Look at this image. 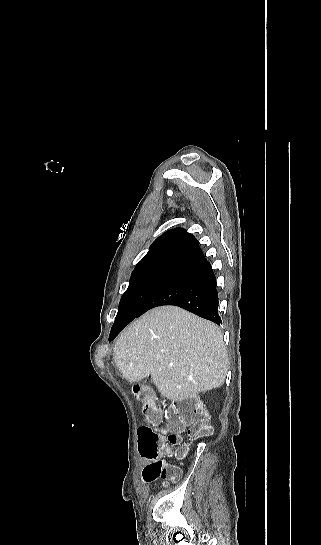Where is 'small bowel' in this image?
I'll list each match as a JSON object with an SVG mask.
<instances>
[{
	"label": "small bowel",
	"mask_w": 321,
	"mask_h": 545,
	"mask_svg": "<svg viewBox=\"0 0 321 545\" xmlns=\"http://www.w3.org/2000/svg\"><path fill=\"white\" fill-rule=\"evenodd\" d=\"M153 428L158 431L159 433H161L162 435H166L169 431L166 429V428H163V427H159L158 425H153ZM164 453L165 455H168L170 454V449L168 447H164ZM164 461L160 460V459H157V460H153V461H150L143 469V472H142V478H143V481L144 482H149L152 480V475L154 474V472L157 470L158 468V465ZM175 467V466H174ZM176 468V467H175ZM177 472H178V478L180 477V470L178 468H176ZM177 478V479H178Z\"/></svg>",
	"instance_id": "small-bowel-1"
}]
</instances>
